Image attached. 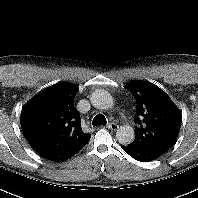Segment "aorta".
Returning <instances> with one entry per match:
<instances>
[{
	"instance_id": "aorta-1",
	"label": "aorta",
	"mask_w": 198,
	"mask_h": 198,
	"mask_svg": "<svg viewBox=\"0 0 198 198\" xmlns=\"http://www.w3.org/2000/svg\"><path fill=\"white\" fill-rule=\"evenodd\" d=\"M91 103L98 109H109L114 104L113 97L105 90H96L91 96ZM116 137L121 144H130L135 138L134 129L129 126H121L117 132Z\"/></svg>"
}]
</instances>
